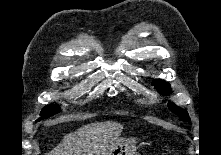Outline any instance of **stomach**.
<instances>
[{
	"instance_id": "0dacf381",
	"label": "stomach",
	"mask_w": 221,
	"mask_h": 155,
	"mask_svg": "<svg viewBox=\"0 0 221 155\" xmlns=\"http://www.w3.org/2000/svg\"><path fill=\"white\" fill-rule=\"evenodd\" d=\"M137 142L133 138H119L107 155H136Z\"/></svg>"
}]
</instances>
